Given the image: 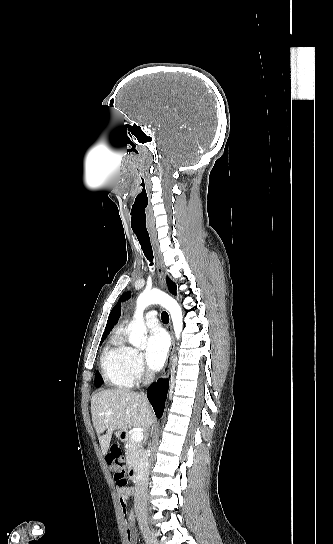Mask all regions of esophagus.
Segmentation results:
<instances>
[{"label": "esophagus", "instance_id": "obj_1", "mask_svg": "<svg viewBox=\"0 0 333 544\" xmlns=\"http://www.w3.org/2000/svg\"><path fill=\"white\" fill-rule=\"evenodd\" d=\"M152 243H153V246H154V249H155V255H156V265H157V272H158V276H159V280H160V283H161V286L162 287H166V279H165V271H164V265H163V262L160 258V255L156 249V246H155V240L154 238L152 237ZM168 330L171 334V337H172V347H171V351L169 353V356L166 360V363H165V366H164V369H163V372H162V377L163 378H166L168 377L169 375V372H170V369H171V364H172V358H173V352H174V341H173V330H172V325H171V322H169L168 324Z\"/></svg>", "mask_w": 333, "mask_h": 544}]
</instances>
